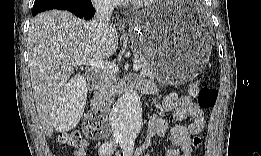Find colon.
Wrapping results in <instances>:
<instances>
[{
	"label": "colon",
	"instance_id": "5ec220e1",
	"mask_svg": "<svg viewBox=\"0 0 261 156\" xmlns=\"http://www.w3.org/2000/svg\"><path fill=\"white\" fill-rule=\"evenodd\" d=\"M189 94L195 96L198 99V105L201 108H212L217 100V90L215 87L206 85L201 87L198 81H193L188 87ZM106 132L103 117L99 112L92 113L85 122V133L91 138H100ZM59 141L73 148H79L83 143L82 133L75 129L66 131L59 136ZM202 146V137L196 135L191 142L190 155Z\"/></svg>",
	"mask_w": 261,
	"mask_h": 156
}]
</instances>
